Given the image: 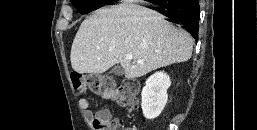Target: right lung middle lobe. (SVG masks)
<instances>
[{"mask_svg": "<svg viewBox=\"0 0 257 130\" xmlns=\"http://www.w3.org/2000/svg\"><path fill=\"white\" fill-rule=\"evenodd\" d=\"M73 5L81 13H88L91 10L99 7L100 5L107 3L105 0H72Z\"/></svg>", "mask_w": 257, "mask_h": 130, "instance_id": "dd1d6c3e", "label": "right lung middle lobe"}]
</instances>
